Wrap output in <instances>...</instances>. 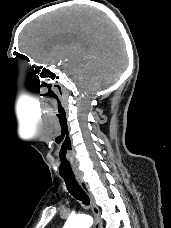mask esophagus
<instances>
[{
  "instance_id": "esophagus-1",
  "label": "esophagus",
  "mask_w": 171,
  "mask_h": 228,
  "mask_svg": "<svg viewBox=\"0 0 171 228\" xmlns=\"http://www.w3.org/2000/svg\"><path fill=\"white\" fill-rule=\"evenodd\" d=\"M75 178H76V181L78 182V184L80 185V187L84 190V192L89 197V201H90L91 208H92V211L94 214V219H95L94 228H103L102 220L100 218V209L95 203L94 197L89 190L88 184L85 182L83 177L80 175H76Z\"/></svg>"
}]
</instances>
